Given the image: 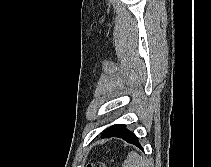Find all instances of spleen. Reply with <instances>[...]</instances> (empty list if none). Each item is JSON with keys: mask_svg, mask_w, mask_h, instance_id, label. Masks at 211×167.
<instances>
[{"mask_svg": "<svg viewBox=\"0 0 211 167\" xmlns=\"http://www.w3.org/2000/svg\"><path fill=\"white\" fill-rule=\"evenodd\" d=\"M122 167H149V163L138 153L132 151L128 154Z\"/></svg>", "mask_w": 211, "mask_h": 167, "instance_id": "obj_1", "label": "spleen"}]
</instances>
